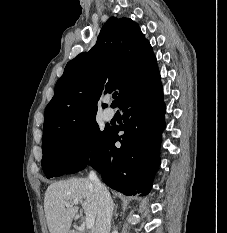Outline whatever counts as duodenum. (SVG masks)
<instances>
[{
	"label": "duodenum",
	"mask_w": 227,
	"mask_h": 233,
	"mask_svg": "<svg viewBox=\"0 0 227 233\" xmlns=\"http://www.w3.org/2000/svg\"><path fill=\"white\" fill-rule=\"evenodd\" d=\"M72 233H79L78 231H73Z\"/></svg>",
	"instance_id": "1"
}]
</instances>
